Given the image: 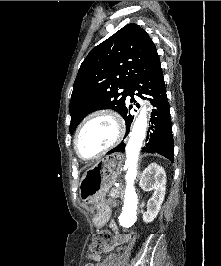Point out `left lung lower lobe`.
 Returning <instances> with one entry per match:
<instances>
[{
  "instance_id": "left-lung-lower-lobe-1",
  "label": "left lung lower lobe",
  "mask_w": 221,
  "mask_h": 266,
  "mask_svg": "<svg viewBox=\"0 0 221 266\" xmlns=\"http://www.w3.org/2000/svg\"><path fill=\"white\" fill-rule=\"evenodd\" d=\"M142 99H146L143 94H149L153 99H149L151 104L155 107L152 110L151 124L147 134V144L142 148L144 152L158 153L165 156L173 162L174 160V144L172 135V123L170 119L169 103L166 95V88L163 78L161 65L158 64L153 70L142 76L134 83H132L128 95L131 97L130 102L136 104L134 93ZM131 105H126L122 114L126 122V135L129 133L130 124L133 117L128 113L132 108ZM136 106L139 107L138 104ZM125 135V136H126ZM125 144L121 142L117 147L110 150L107 154L114 152H123Z\"/></svg>"
}]
</instances>
